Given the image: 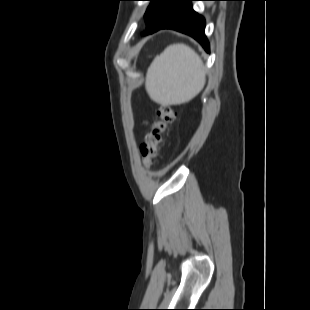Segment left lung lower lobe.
Masks as SVG:
<instances>
[{
  "label": "left lung lower lobe",
  "instance_id": "obj_1",
  "mask_svg": "<svg viewBox=\"0 0 310 310\" xmlns=\"http://www.w3.org/2000/svg\"><path fill=\"white\" fill-rule=\"evenodd\" d=\"M191 1L186 8L167 26L161 29H173L196 39L205 51L209 52V42L204 34L205 19L192 9ZM160 30V29H159Z\"/></svg>",
  "mask_w": 310,
  "mask_h": 310
}]
</instances>
